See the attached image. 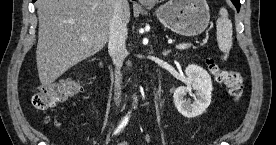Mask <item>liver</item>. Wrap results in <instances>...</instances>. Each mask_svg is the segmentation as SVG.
<instances>
[{"label":"liver","mask_w":276,"mask_h":145,"mask_svg":"<svg viewBox=\"0 0 276 145\" xmlns=\"http://www.w3.org/2000/svg\"><path fill=\"white\" fill-rule=\"evenodd\" d=\"M114 0H38L37 70L47 87L107 43ZM130 20L129 7L125 11ZM86 37L82 40V37Z\"/></svg>","instance_id":"obj_1"}]
</instances>
